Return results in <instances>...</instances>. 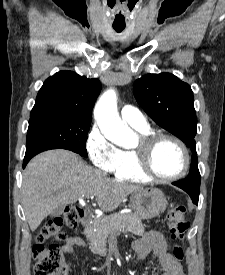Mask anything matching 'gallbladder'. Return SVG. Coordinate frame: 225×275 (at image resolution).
Here are the masks:
<instances>
[{"instance_id":"obj_1","label":"gallbladder","mask_w":225,"mask_h":275,"mask_svg":"<svg viewBox=\"0 0 225 275\" xmlns=\"http://www.w3.org/2000/svg\"><path fill=\"white\" fill-rule=\"evenodd\" d=\"M64 211V206H58L57 208H55L52 213L51 216H58L60 214H62Z\"/></svg>"}]
</instances>
